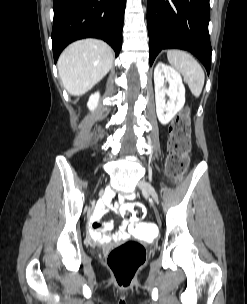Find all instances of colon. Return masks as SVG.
Wrapping results in <instances>:
<instances>
[{"label":"colon","mask_w":247,"mask_h":304,"mask_svg":"<svg viewBox=\"0 0 247 304\" xmlns=\"http://www.w3.org/2000/svg\"><path fill=\"white\" fill-rule=\"evenodd\" d=\"M190 118L187 110L181 112L170 127L168 142L169 154L166 160L167 174L175 181H179L189 164L188 153L190 150ZM145 202H132L124 204L120 212L123 217L136 222L130 229V234L135 238H160L157 224H138L146 217ZM147 246L152 244L150 239L145 241ZM146 259L144 244L136 239L113 248L107 257V265L114 277L116 284L121 288H128L140 267Z\"/></svg>","instance_id":"obj_1"}]
</instances>
